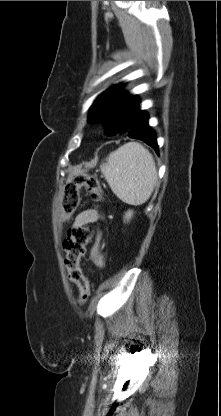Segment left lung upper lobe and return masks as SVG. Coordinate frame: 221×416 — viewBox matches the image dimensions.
I'll return each instance as SVG.
<instances>
[{
    "label": "left lung upper lobe",
    "mask_w": 221,
    "mask_h": 416,
    "mask_svg": "<svg viewBox=\"0 0 221 416\" xmlns=\"http://www.w3.org/2000/svg\"><path fill=\"white\" fill-rule=\"evenodd\" d=\"M123 85L118 84L109 88L91 106L88 122L104 123L108 135L127 133L139 106L136 95L118 93Z\"/></svg>",
    "instance_id": "left-lung-upper-lobe-1"
}]
</instances>
